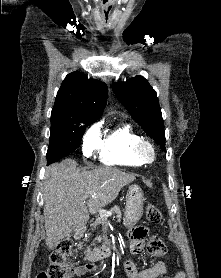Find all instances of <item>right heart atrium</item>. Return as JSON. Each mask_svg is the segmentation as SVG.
Masks as SVG:
<instances>
[{"instance_id":"1","label":"right heart atrium","mask_w":221,"mask_h":278,"mask_svg":"<svg viewBox=\"0 0 221 278\" xmlns=\"http://www.w3.org/2000/svg\"><path fill=\"white\" fill-rule=\"evenodd\" d=\"M100 143V127L98 124L89 127L82 140V153L85 157H90L98 148Z\"/></svg>"}]
</instances>
